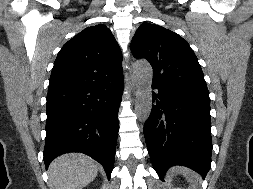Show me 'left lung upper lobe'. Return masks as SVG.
<instances>
[{"label":"left lung upper lobe","mask_w":253,"mask_h":189,"mask_svg":"<svg viewBox=\"0 0 253 189\" xmlns=\"http://www.w3.org/2000/svg\"><path fill=\"white\" fill-rule=\"evenodd\" d=\"M131 51L153 68L152 84L210 102L198 59L186 40L162 26L143 23L137 29Z\"/></svg>","instance_id":"1"}]
</instances>
